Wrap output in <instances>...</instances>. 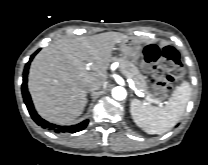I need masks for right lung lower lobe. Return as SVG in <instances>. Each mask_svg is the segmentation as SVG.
Instances as JSON below:
<instances>
[{"label": "right lung lower lobe", "instance_id": "right-lung-lower-lobe-1", "mask_svg": "<svg viewBox=\"0 0 208 165\" xmlns=\"http://www.w3.org/2000/svg\"><path fill=\"white\" fill-rule=\"evenodd\" d=\"M39 51V50H38ZM36 51L31 57L30 60L26 63L25 65V69L23 72V83H22V94H23V98H24V102L27 106V109L32 117V119L40 126H42L43 128H48L51 130H54L55 132H71V133H75L77 131H81L83 130L87 124H88V120H85L77 125H73V126H56L54 124H51L47 121H45L44 119H42L35 111L30 94L28 92L27 89V75H28V69H29V65L30 62L32 61V59L34 58V56L37 54Z\"/></svg>", "mask_w": 208, "mask_h": 165}]
</instances>
